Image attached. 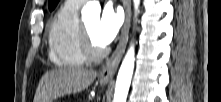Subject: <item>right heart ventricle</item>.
<instances>
[{"instance_id": "right-heart-ventricle-1", "label": "right heart ventricle", "mask_w": 221, "mask_h": 102, "mask_svg": "<svg viewBox=\"0 0 221 102\" xmlns=\"http://www.w3.org/2000/svg\"><path fill=\"white\" fill-rule=\"evenodd\" d=\"M80 6L76 1H65L49 25V57L59 67H79L87 61L80 40Z\"/></svg>"}]
</instances>
